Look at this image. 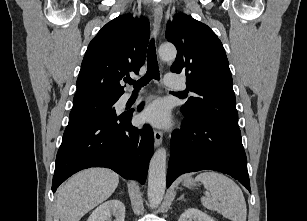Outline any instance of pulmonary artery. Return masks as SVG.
Wrapping results in <instances>:
<instances>
[{
	"label": "pulmonary artery",
	"mask_w": 307,
	"mask_h": 221,
	"mask_svg": "<svg viewBox=\"0 0 307 221\" xmlns=\"http://www.w3.org/2000/svg\"><path fill=\"white\" fill-rule=\"evenodd\" d=\"M165 84L174 89H182L184 88L185 84L183 81L175 74L168 73L165 75ZM144 91H140L138 94H142ZM132 96L131 92L125 93L123 96V100L127 101Z\"/></svg>",
	"instance_id": "e3ab8cb5"
}]
</instances>
